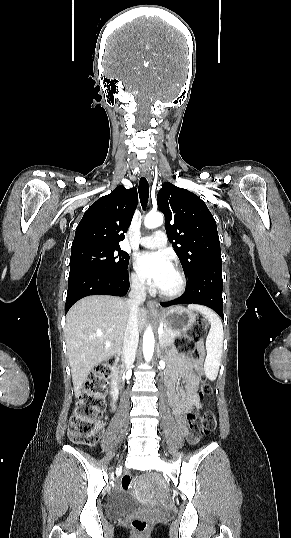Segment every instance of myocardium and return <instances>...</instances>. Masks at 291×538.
<instances>
[{
    "mask_svg": "<svg viewBox=\"0 0 291 538\" xmlns=\"http://www.w3.org/2000/svg\"><path fill=\"white\" fill-rule=\"evenodd\" d=\"M172 269L178 276V279H179L178 286L174 290H171V291H165L160 288L158 289V294L161 297H164L167 299H174L181 296L187 288V278L184 272L177 266H173Z\"/></svg>",
    "mask_w": 291,
    "mask_h": 538,
    "instance_id": "obj_1",
    "label": "myocardium"
}]
</instances>
